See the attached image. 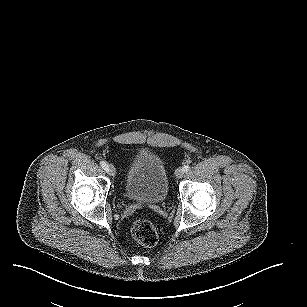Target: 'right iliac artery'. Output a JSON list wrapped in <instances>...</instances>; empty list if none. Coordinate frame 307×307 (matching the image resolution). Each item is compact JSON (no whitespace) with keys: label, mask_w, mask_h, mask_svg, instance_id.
Listing matches in <instances>:
<instances>
[{"label":"right iliac artery","mask_w":307,"mask_h":307,"mask_svg":"<svg viewBox=\"0 0 307 307\" xmlns=\"http://www.w3.org/2000/svg\"><path fill=\"white\" fill-rule=\"evenodd\" d=\"M100 165H101V167H102L104 170L107 171L108 165H107V163H106L105 161H100Z\"/></svg>","instance_id":"right-iliac-artery-1"}]
</instances>
